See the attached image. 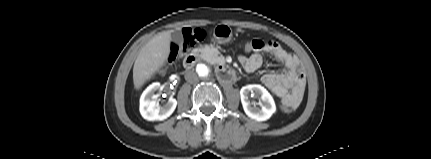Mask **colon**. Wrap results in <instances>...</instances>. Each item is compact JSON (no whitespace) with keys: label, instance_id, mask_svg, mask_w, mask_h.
<instances>
[{"label":"colon","instance_id":"colon-1","mask_svg":"<svg viewBox=\"0 0 431 159\" xmlns=\"http://www.w3.org/2000/svg\"><path fill=\"white\" fill-rule=\"evenodd\" d=\"M203 32L201 30H190L187 31L184 34V40L181 44H172L171 46V53H170V58L172 60H175L178 56H180L181 54L185 53L192 45H194L196 42L200 41L201 39H203ZM252 45H253V40L252 39H247L246 43L244 44V48L243 51L246 54H249L252 51ZM283 107V108H282ZM279 109H282V111H286V112H290L287 107L278 105Z\"/></svg>","mask_w":431,"mask_h":159}]
</instances>
